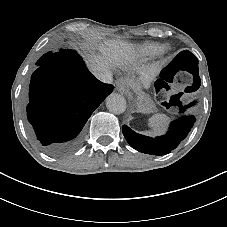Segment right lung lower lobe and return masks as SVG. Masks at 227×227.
I'll list each match as a JSON object with an SVG mask.
<instances>
[{
  "label": "right lung lower lobe",
  "instance_id": "right-lung-lower-lobe-1",
  "mask_svg": "<svg viewBox=\"0 0 227 227\" xmlns=\"http://www.w3.org/2000/svg\"><path fill=\"white\" fill-rule=\"evenodd\" d=\"M36 64L27 118L43 150L62 156L79 146V133L114 86L96 79L73 50L48 52Z\"/></svg>",
  "mask_w": 227,
  "mask_h": 227
}]
</instances>
